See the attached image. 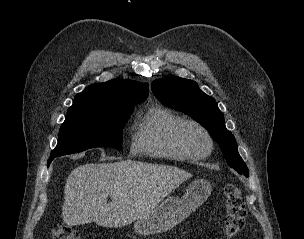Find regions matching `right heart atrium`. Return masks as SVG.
<instances>
[{
  "label": "right heart atrium",
  "instance_id": "right-heart-atrium-1",
  "mask_svg": "<svg viewBox=\"0 0 304 239\" xmlns=\"http://www.w3.org/2000/svg\"><path fill=\"white\" fill-rule=\"evenodd\" d=\"M130 147L132 150H137L138 149V139L135 134L132 135L131 137V142H130Z\"/></svg>",
  "mask_w": 304,
  "mask_h": 239
}]
</instances>
